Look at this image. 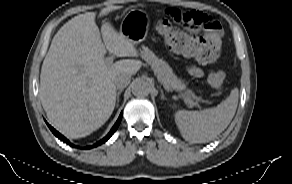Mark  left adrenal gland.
<instances>
[{"instance_id":"left-adrenal-gland-1","label":"left adrenal gland","mask_w":292,"mask_h":184,"mask_svg":"<svg viewBox=\"0 0 292 184\" xmlns=\"http://www.w3.org/2000/svg\"><path fill=\"white\" fill-rule=\"evenodd\" d=\"M161 99H165V96H164V93H163L162 89H161Z\"/></svg>"}]
</instances>
